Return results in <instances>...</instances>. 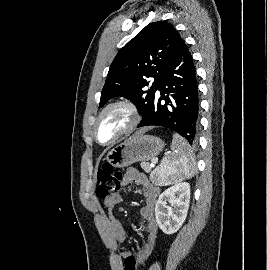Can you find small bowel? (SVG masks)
<instances>
[{
  "mask_svg": "<svg viewBox=\"0 0 267 270\" xmlns=\"http://www.w3.org/2000/svg\"><path fill=\"white\" fill-rule=\"evenodd\" d=\"M124 185H136L142 190L145 205L141 210V217L146 222V238L136 254L137 263H143L152 253L157 239L158 225L155 218V206L159 196V189L155 187L147 176L136 168H129L123 178ZM123 202V197L116 193L104 200V206L108 210V223L111 235L116 242H123L126 239V230L121 221L114 213L117 205ZM131 254L125 250L120 260Z\"/></svg>",
  "mask_w": 267,
  "mask_h": 270,
  "instance_id": "1",
  "label": "small bowel"
}]
</instances>
